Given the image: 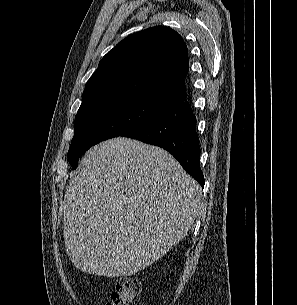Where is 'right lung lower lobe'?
<instances>
[{
    "label": "right lung lower lobe",
    "instance_id": "obj_1",
    "mask_svg": "<svg viewBox=\"0 0 297 305\" xmlns=\"http://www.w3.org/2000/svg\"><path fill=\"white\" fill-rule=\"evenodd\" d=\"M122 136L164 148L180 162L187 173L204 186L196 118L186 99Z\"/></svg>",
    "mask_w": 297,
    "mask_h": 305
}]
</instances>
